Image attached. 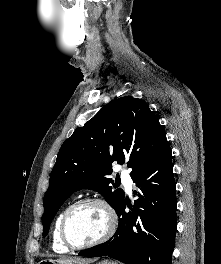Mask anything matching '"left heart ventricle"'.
Instances as JSON below:
<instances>
[{"label":"left heart ventricle","instance_id":"b2bd125f","mask_svg":"<svg viewBox=\"0 0 221 264\" xmlns=\"http://www.w3.org/2000/svg\"><path fill=\"white\" fill-rule=\"evenodd\" d=\"M107 217L97 205L85 204L70 215L67 234L76 245L87 244L100 238L106 231Z\"/></svg>","mask_w":221,"mask_h":264}]
</instances>
